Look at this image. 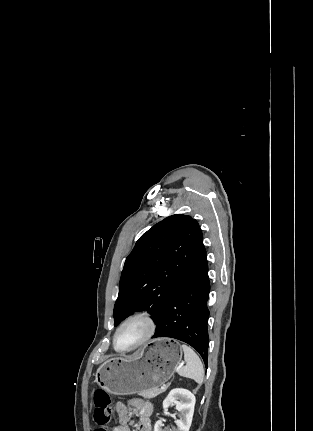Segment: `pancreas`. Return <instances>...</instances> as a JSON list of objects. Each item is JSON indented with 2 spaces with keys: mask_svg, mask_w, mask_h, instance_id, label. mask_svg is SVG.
I'll return each instance as SVG.
<instances>
[{
  "mask_svg": "<svg viewBox=\"0 0 313 431\" xmlns=\"http://www.w3.org/2000/svg\"><path fill=\"white\" fill-rule=\"evenodd\" d=\"M166 389H167V387H165L163 389H159V388L148 389V390L141 391L139 394L141 396H143L144 398L151 399V398H155L159 394L163 393Z\"/></svg>",
  "mask_w": 313,
  "mask_h": 431,
  "instance_id": "1",
  "label": "pancreas"
}]
</instances>
